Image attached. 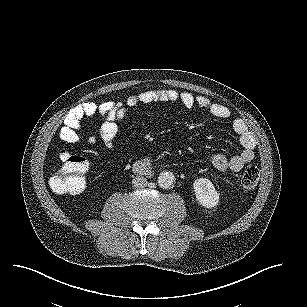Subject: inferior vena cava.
Returning a JSON list of instances; mask_svg holds the SVG:
<instances>
[{
  "label": "inferior vena cava",
  "instance_id": "inferior-vena-cava-1",
  "mask_svg": "<svg viewBox=\"0 0 307 307\" xmlns=\"http://www.w3.org/2000/svg\"><path fill=\"white\" fill-rule=\"evenodd\" d=\"M148 184L147 179L142 175H137L132 179V185L135 188H143Z\"/></svg>",
  "mask_w": 307,
  "mask_h": 307
}]
</instances>
